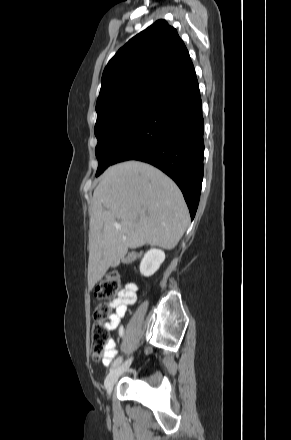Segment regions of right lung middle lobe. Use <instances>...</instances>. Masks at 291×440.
Segmentation results:
<instances>
[{
  "label": "right lung middle lobe",
  "instance_id": "1",
  "mask_svg": "<svg viewBox=\"0 0 291 440\" xmlns=\"http://www.w3.org/2000/svg\"><path fill=\"white\" fill-rule=\"evenodd\" d=\"M154 98L139 96L96 108L97 121L94 128L98 140L95 148L98 159L96 176L111 165L118 150L147 114Z\"/></svg>",
  "mask_w": 291,
  "mask_h": 440
}]
</instances>
